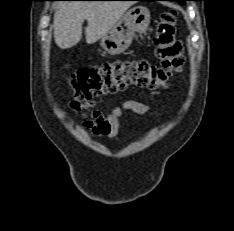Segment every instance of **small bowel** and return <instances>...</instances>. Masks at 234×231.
Here are the masks:
<instances>
[{
	"label": "small bowel",
	"mask_w": 234,
	"mask_h": 231,
	"mask_svg": "<svg viewBox=\"0 0 234 231\" xmlns=\"http://www.w3.org/2000/svg\"><path fill=\"white\" fill-rule=\"evenodd\" d=\"M151 111V106L138 100H127L122 105L104 113L94 102L85 105L82 126L97 137L113 139L118 134L120 119L128 112L143 115Z\"/></svg>",
	"instance_id": "obj_1"
}]
</instances>
